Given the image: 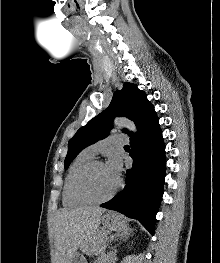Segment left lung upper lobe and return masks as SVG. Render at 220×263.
I'll return each mask as SVG.
<instances>
[{"instance_id": "1", "label": "left lung upper lobe", "mask_w": 220, "mask_h": 263, "mask_svg": "<svg viewBox=\"0 0 220 263\" xmlns=\"http://www.w3.org/2000/svg\"><path fill=\"white\" fill-rule=\"evenodd\" d=\"M115 117H127L135 122L138 129L137 135L123 129V132L130 136V139L140 135L158 118L154 107L147 100L146 94L134 84L124 83L123 88L114 93L108 108L81 127L69 140L65 169L81 150L108 135Z\"/></svg>"}]
</instances>
